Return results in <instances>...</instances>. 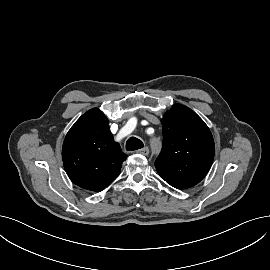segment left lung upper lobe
<instances>
[{
	"mask_svg": "<svg viewBox=\"0 0 270 270\" xmlns=\"http://www.w3.org/2000/svg\"><path fill=\"white\" fill-rule=\"evenodd\" d=\"M163 148L155 161L162 179L177 189L198 184L211 168L215 145L204 121L190 108L174 104L162 119Z\"/></svg>",
	"mask_w": 270,
	"mask_h": 270,
	"instance_id": "obj_1",
	"label": "left lung upper lobe"
}]
</instances>
